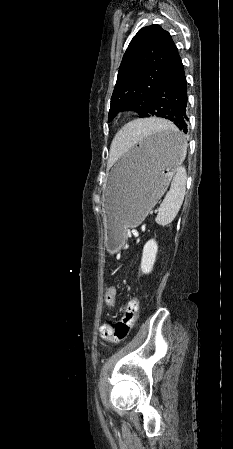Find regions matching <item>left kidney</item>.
<instances>
[{"mask_svg":"<svg viewBox=\"0 0 233 449\" xmlns=\"http://www.w3.org/2000/svg\"><path fill=\"white\" fill-rule=\"evenodd\" d=\"M158 252V245L154 239L149 240L143 248V255L141 259V270L144 274H149L154 266L156 255Z\"/></svg>","mask_w":233,"mask_h":449,"instance_id":"obj_1","label":"left kidney"}]
</instances>
